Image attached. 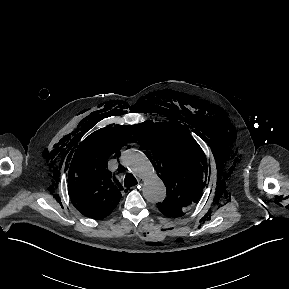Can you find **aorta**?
Segmentation results:
<instances>
[{"mask_svg":"<svg viewBox=\"0 0 289 289\" xmlns=\"http://www.w3.org/2000/svg\"><path fill=\"white\" fill-rule=\"evenodd\" d=\"M120 161L143 181V196L151 203L162 202L166 197V187L146 155L137 149L122 153Z\"/></svg>","mask_w":289,"mask_h":289,"instance_id":"aorta-1","label":"aorta"}]
</instances>
